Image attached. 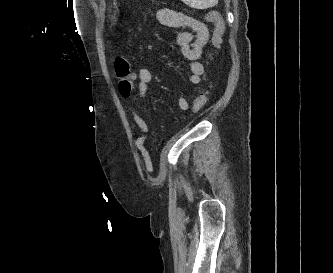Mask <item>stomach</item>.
Listing matches in <instances>:
<instances>
[{
	"mask_svg": "<svg viewBox=\"0 0 333 273\" xmlns=\"http://www.w3.org/2000/svg\"><path fill=\"white\" fill-rule=\"evenodd\" d=\"M108 21L109 23H120L121 18L120 16H109Z\"/></svg>",
	"mask_w": 333,
	"mask_h": 273,
	"instance_id": "stomach-1",
	"label": "stomach"
}]
</instances>
